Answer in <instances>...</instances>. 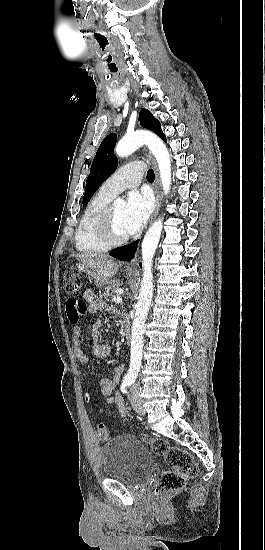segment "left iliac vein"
<instances>
[{"instance_id":"4c4485c4","label":"left iliac vein","mask_w":265,"mask_h":550,"mask_svg":"<svg viewBox=\"0 0 265 550\" xmlns=\"http://www.w3.org/2000/svg\"><path fill=\"white\" fill-rule=\"evenodd\" d=\"M131 405L133 409L140 415L145 414V409L140 401V397L137 393L132 392L131 394Z\"/></svg>"}]
</instances>
